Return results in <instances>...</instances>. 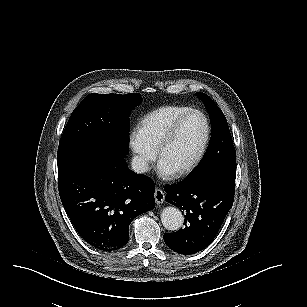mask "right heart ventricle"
<instances>
[{
    "mask_svg": "<svg viewBox=\"0 0 307 307\" xmlns=\"http://www.w3.org/2000/svg\"><path fill=\"white\" fill-rule=\"evenodd\" d=\"M184 109L166 106L153 111L149 119L145 120L136 136L143 138L150 143L153 148L164 143L165 132L171 128L172 124L178 120L179 114Z\"/></svg>",
    "mask_w": 307,
    "mask_h": 307,
    "instance_id": "e07e8e85",
    "label": "right heart ventricle"
}]
</instances>
